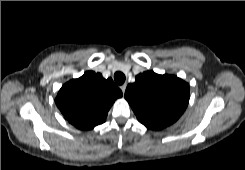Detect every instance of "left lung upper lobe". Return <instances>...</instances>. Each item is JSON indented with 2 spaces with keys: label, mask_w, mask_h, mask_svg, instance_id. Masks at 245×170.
<instances>
[{
  "label": "left lung upper lobe",
  "mask_w": 245,
  "mask_h": 170,
  "mask_svg": "<svg viewBox=\"0 0 245 170\" xmlns=\"http://www.w3.org/2000/svg\"><path fill=\"white\" fill-rule=\"evenodd\" d=\"M125 98L139 122L148 129L160 130L177 121L185 111L189 85L177 76L146 71L127 86Z\"/></svg>",
  "instance_id": "5c2ea615"
}]
</instances>
